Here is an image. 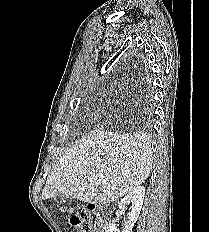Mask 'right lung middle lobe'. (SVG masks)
<instances>
[{
  "instance_id": "obj_1",
  "label": "right lung middle lobe",
  "mask_w": 209,
  "mask_h": 232,
  "mask_svg": "<svg viewBox=\"0 0 209 232\" xmlns=\"http://www.w3.org/2000/svg\"><path fill=\"white\" fill-rule=\"evenodd\" d=\"M143 90V97L140 101V110L136 116V121L145 130H149L151 128L152 95L148 86H145Z\"/></svg>"
}]
</instances>
